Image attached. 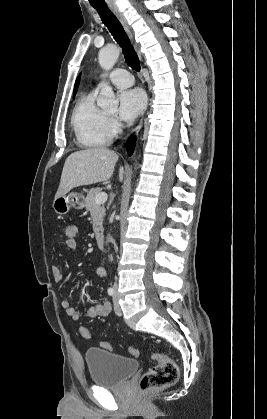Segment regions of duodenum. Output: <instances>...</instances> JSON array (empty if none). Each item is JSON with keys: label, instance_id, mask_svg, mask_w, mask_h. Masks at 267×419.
Listing matches in <instances>:
<instances>
[{"label": "duodenum", "instance_id": "1", "mask_svg": "<svg viewBox=\"0 0 267 419\" xmlns=\"http://www.w3.org/2000/svg\"><path fill=\"white\" fill-rule=\"evenodd\" d=\"M106 244V238L104 235L100 234L97 236V245L100 248H103Z\"/></svg>", "mask_w": 267, "mask_h": 419}]
</instances>
